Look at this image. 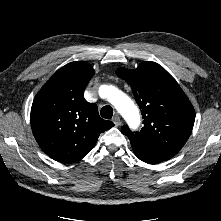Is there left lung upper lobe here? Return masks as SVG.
<instances>
[{
    "mask_svg": "<svg viewBox=\"0 0 221 221\" xmlns=\"http://www.w3.org/2000/svg\"><path fill=\"white\" fill-rule=\"evenodd\" d=\"M117 75L132 88L143 115V128L121 132L149 150L171 158L189 138L195 111L175 79L159 64L143 62L136 69L120 68Z\"/></svg>",
    "mask_w": 221,
    "mask_h": 221,
    "instance_id": "1",
    "label": "left lung upper lobe"
}]
</instances>
